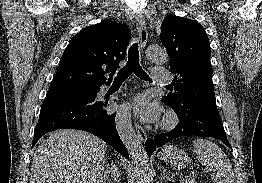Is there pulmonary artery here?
<instances>
[{"label": "pulmonary artery", "mask_w": 262, "mask_h": 183, "mask_svg": "<svg viewBox=\"0 0 262 183\" xmlns=\"http://www.w3.org/2000/svg\"><path fill=\"white\" fill-rule=\"evenodd\" d=\"M152 75H153V79L156 82H166L168 81V77L165 73H161L160 70L158 69H153L152 70Z\"/></svg>", "instance_id": "obj_1"}]
</instances>
